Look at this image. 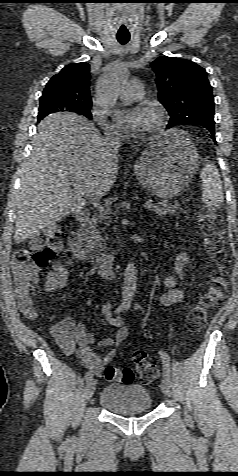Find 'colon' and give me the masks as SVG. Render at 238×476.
<instances>
[{"label": "colon", "mask_w": 238, "mask_h": 476, "mask_svg": "<svg viewBox=\"0 0 238 476\" xmlns=\"http://www.w3.org/2000/svg\"><path fill=\"white\" fill-rule=\"evenodd\" d=\"M199 225L207 252L219 265L212 271L211 283L187 315V326L193 332L200 331L206 322L209 311L225 296L227 291V272L220 264L225 260L224 222L221 216L211 211H202ZM59 229L47 228L37 235L30 247L17 250L12 258L15 290L23 313L30 319L35 317L31 295L36 290L39 273L60 252ZM133 361L139 377L144 383H151L158 377L157 367L147 354L138 350L133 354ZM105 378L130 384L135 374L131 368L107 367Z\"/></svg>", "instance_id": "5ec220e1"}]
</instances>
